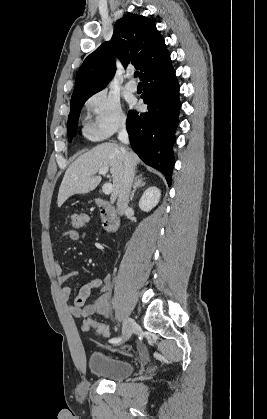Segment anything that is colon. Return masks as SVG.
Masks as SVG:
<instances>
[{"label": "colon", "mask_w": 267, "mask_h": 419, "mask_svg": "<svg viewBox=\"0 0 267 419\" xmlns=\"http://www.w3.org/2000/svg\"><path fill=\"white\" fill-rule=\"evenodd\" d=\"M87 222V216L83 213L75 214L71 218V229L75 231H80ZM82 330L89 331L94 330L97 334L102 335L103 337H108L110 334L109 327L106 324L96 322L92 319L84 320L82 323ZM131 346L125 345L121 348V351L126 353L131 350Z\"/></svg>", "instance_id": "obj_1"}]
</instances>
